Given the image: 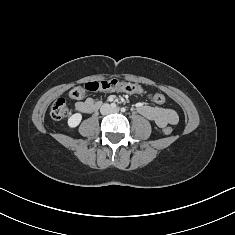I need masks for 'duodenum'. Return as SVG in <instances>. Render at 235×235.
<instances>
[{"label":"duodenum","mask_w":235,"mask_h":235,"mask_svg":"<svg viewBox=\"0 0 235 235\" xmlns=\"http://www.w3.org/2000/svg\"><path fill=\"white\" fill-rule=\"evenodd\" d=\"M99 104H95V105H93L92 107H91V109H90V112L89 113H92V112H94V111H96L98 108H99Z\"/></svg>","instance_id":"duodenum-1"}]
</instances>
